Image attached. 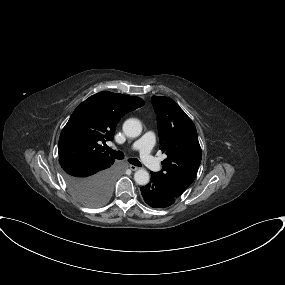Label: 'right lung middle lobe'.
<instances>
[{"label":"right lung middle lobe","mask_w":285,"mask_h":285,"mask_svg":"<svg viewBox=\"0 0 285 285\" xmlns=\"http://www.w3.org/2000/svg\"><path fill=\"white\" fill-rule=\"evenodd\" d=\"M111 186L105 184L69 185L75 198L86 206L96 207L105 203L111 194Z\"/></svg>","instance_id":"1"}]
</instances>
